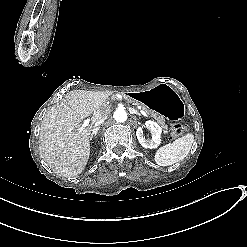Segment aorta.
<instances>
[{"mask_svg": "<svg viewBox=\"0 0 247 247\" xmlns=\"http://www.w3.org/2000/svg\"><path fill=\"white\" fill-rule=\"evenodd\" d=\"M113 118L116 122H125L128 117L124 109H117L113 114Z\"/></svg>", "mask_w": 247, "mask_h": 247, "instance_id": "1", "label": "aorta"}]
</instances>
